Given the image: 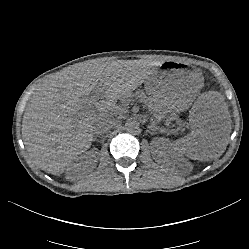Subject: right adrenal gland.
I'll return each mask as SVG.
<instances>
[{
    "label": "right adrenal gland",
    "mask_w": 249,
    "mask_h": 249,
    "mask_svg": "<svg viewBox=\"0 0 249 249\" xmlns=\"http://www.w3.org/2000/svg\"><path fill=\"white\" fill-rule=\"evenodd\" d=\"M103 133H98L96 136L93 138V142H96L99 138H101Z\"/></svg>",
    "instance_id": "2a0ac1e0"
}]
</instances>
